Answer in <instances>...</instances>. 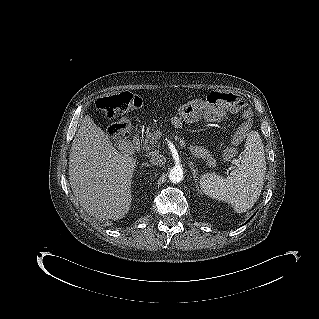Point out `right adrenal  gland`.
<instances>
[{
	"instance_id": "2a0ac1e0",
	"label": "right adrenal gland",
	"mask_w": 319,
	"mask_h": 319,
	"mask_svg": "<svg viewBox=\"0 0 319 319\" xmlns=\"http://www.w3.org/2000/svg\"><path fill=\"white\" fill-rule=\"evenodd\" d=\"M143 166L149 167L150 165H149V163H143V164H142V167H143Z\"/></svg>"
}]
</instances>
